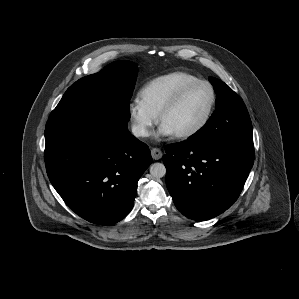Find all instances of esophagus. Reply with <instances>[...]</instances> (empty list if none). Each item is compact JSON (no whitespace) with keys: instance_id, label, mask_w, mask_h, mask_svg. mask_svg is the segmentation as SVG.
Here are the masks:
<instances>
[{"instance_id":"esophagus-1","label":"esophagus","mask_w":299,"mask_h":299,"mask_svg":"<svg viewBox=\"0 0 299 299\" xmlns=\"http://www.w3.org/2000/svg\"><path fill=\"white\" fill-rule=\"evenodd\" d=\"M151 155L154 160H159L162 157V151L159 148H152Z\"/></svg>"}]
</instances>
